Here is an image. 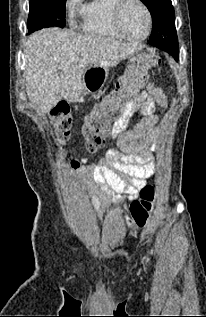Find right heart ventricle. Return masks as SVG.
Instances as JSON below:
<instances>
[{"label":"right heart ventricle","mask_w":206,"mask_h":317,"mask_svg":"<svg viewBox=\"0 0 206 317\" xmlns=\"http://www.w3.org/2000/svg\"><path fill=\"white\" fill-rule=\"evenodd\" d=\"M115 0H88L82 9L83 30L92 35L118 39L111 20V6Z\"/></svg>","instance_id":"right-heart-ventricle-1"}]
</instances>
